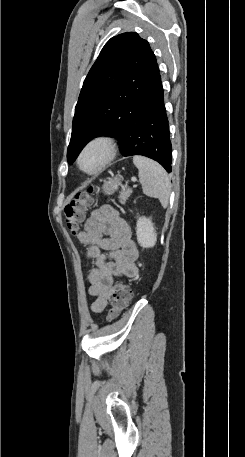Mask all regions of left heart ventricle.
Wrapping results in <instances>:
<instances>
[{"label":"left heart ventricle","mask_w":245,"mask_h":457,"mask_svg":"<svg viewBox=\"0 0 245 457\" xmlns=\"http://www.w3.org/2000/svg\"><path fill=\"white\" fill-rule=\"evenodd\" d=\"M102 155L99 152L89 153L84 159V167L87 169L95 168L101 161Z\"/></svg>","instance_id":"obj_1"}]
</instances>
